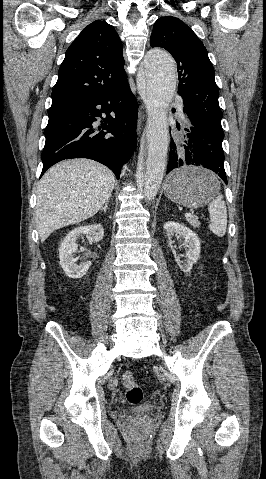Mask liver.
Returning <instances> with one entry per match:
<instances>
[{"mask_svg": "<svg viewBox=\"0 0 266 479\" xmlns=\"http://www.w3.org/2000/svg\"><path fill=\"white\" fill-rule=\"evenodd\" d=\"M114 174L90 159L58 163L37 187L36 226L41 242L55 230L94 216L110 198Z\"/></svg>", "mask_w": 266, "mask_h": 479, "instance_id": "1", "label": "liver"}]
</instances>
